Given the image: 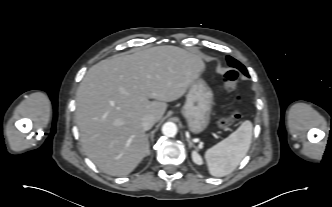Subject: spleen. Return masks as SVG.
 Segmentation results:
<instances>
[{
    "instance_id": "obj_1",
    "label": "spleen",
    "mask_w": 332,
    "mask_h": 207,
    "mask_svg": "<svg viewBox=\"0 0 332 207\" xmlns=\"http://www.w3.org/2000/svg\"><path fill=\"white\" fill-rule=\"evenodd\" d=\"M252 129V123L244 121L236 131L206 151L205 159L212 176L223 177L236 169L250 148Z\"/></svg>"
}]
</instances>
